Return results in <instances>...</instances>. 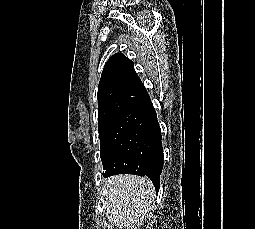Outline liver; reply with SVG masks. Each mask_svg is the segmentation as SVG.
Here are the masks:
<instances>
[{
  "label": "liver",
  "instance_id": "obj_1",
  "mask_svg": "<svg viewBox=\"0 0 255 229\" xmlns=\"http://www.w3.org/2000/svg\"><path fill=\"white\" fill-rule=\"evenodd\" d=\"M108 220L122 229L142 223L152 210L153 183L144 177L121 174L104 181L102 186Z\"/></svg>",
  "mask_w": 255,
  "mask_h": 229
}]
</instances>
